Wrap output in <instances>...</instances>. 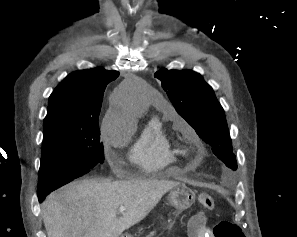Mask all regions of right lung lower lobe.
Returning <instances> with one entry per match:
<instances>
[{"instance_id": "1", "label": "right lung lower lobe", "mask_w": 297, "mask_h": 237, "mask_svg": "<svg viewBox=\"0 0 297 237\" xmlns=\"http://www.w3.org/2000/svg\"><path fill=\"white\" fill-rule=\"evenodd\" d=\"M78 178V176H74V177H71L65 181H63V183L61 184V186L73 181L74 179ZM60 186V187H61ZM50 192H52V190H47V191H41V190H38V199L39 201L41 202Z\"/></svg>"}]
</instances>
